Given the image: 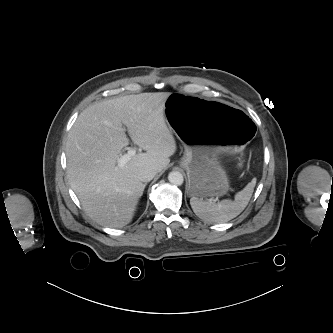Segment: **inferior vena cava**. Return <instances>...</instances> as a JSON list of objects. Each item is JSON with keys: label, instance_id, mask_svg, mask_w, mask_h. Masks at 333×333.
Wrapping results in <instances>:
<instances>
[{"label": "inferior vena cava", "instance_id": "1", "mask_svg": "<svg viewBox=\"0 0 333 333\" xmlns=\"http://www.w3.org/2000/svg\"><path fill=\"white\" fill-rule=\"evenodd\" d=\"M157 170L151 167L140 168L137 172V178L141 182H149L157 174Z\"/></svg>", "mask_w": 333, "mask_h": 333}]
</instances>
